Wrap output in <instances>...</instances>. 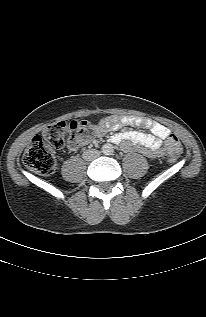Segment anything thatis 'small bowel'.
<instances>
[{"label":"small bowel","mask_w":206,"mask_h":317,"mask_svg":"<svg viewBox=\"0 0 206 317\" xmlns=\"http://www.w3.org/2000/svg\"><path fill=\"white\" fill-rule=\"evenodd\" d=\"M127 125L149 129L150 133L136 130L119 132L111 136L110 140L113 143L119 144L126 151L137 145L142 154L152 159L165 154L162 142L168 138L171 132L165 125L147 117L110 115L98 124L96 135L100 136L107 130L116 131ZM85 142L75 143L71 149L76 150Z\"/></svg>","instance_id":"small-bowel-1"}]
</instances>
